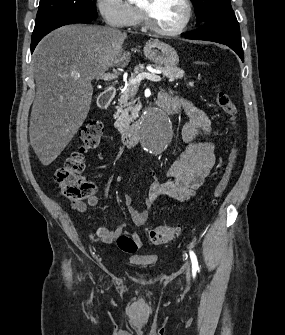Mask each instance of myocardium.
<instances>
[{"instance_id": "f54148a6", "label": "myocardium", "mask_w": 285, "mask_h": 335, "mask_svg": "<svg viewBox=\"0 0 285 335\" xmlns=\"http://www.w3.org/2000/svg\"><path fill=\"white\" fill-rule=\"evenodd\" d=\"M179 2L184 6L186 10V17L184 21L179 27L175 29H163L156 26L152 21L150 1H138L140 10V20L143 27L152 34L161 36H177L183 33L188 28L192 20L193 11L189 1H179Z\"/></svg>"}]
</instances>
